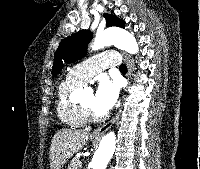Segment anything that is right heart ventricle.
I'll return each mask as SVG.
<instances>
[{"instance_id":"e07e8e85","label":"right heart ventricle","mask_w":200,"mask_h":169,"mask_svg":"<svg viewBox=\"0 0 200 169\" xmlns=\"http://www.w3.org/2000/svg\"><path fill=\"white\" fill-rule=\"evenodd\" d=\"M81 86L82 83L73 81L67 76L57 91V115L65 126L72 129L82 128L88 122L83 106L71 99L72 92Z\"/></svg>"}]
</instances>
